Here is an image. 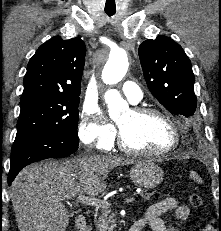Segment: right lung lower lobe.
I'll return each instance as SVG.
<instances>
[{"label": "right lung lower lobe", "instance_id": "right-lung-lower-lobe-1", "mask_svg": "<svg viewBox=\"0 0 221 231\" xmlns=\"http://www.w3.org/2000/svg\"><path fill=\"white\" fill-rule=\"evenodd\" d=\"M78 136L65 133H36L12 146L8 184L25 166L47 158H61L78 149Z\"/></svg>", "mask_w": 221, "mask_h": 231}]
</instances>
